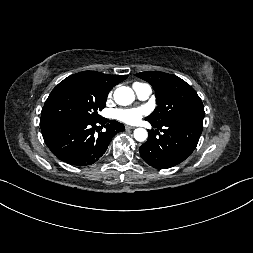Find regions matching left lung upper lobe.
<instances>
[{
	"instance_id": "obj_1",
	"label": "left lung upper lobe",
	"mask_w": 253,
	"mask_h": 253,
	"mask_svg": "<svg viewBox=\"0 0 253 253\" xmlns=\"http://www.w3.org/2000/svg\"><path fill=\"white\" fill-rule=\"evenodd\" d=\"M137 77L149 82L156 93L157 107L146 120L163 125L193 116L204 117V106L196 91L181 78L163 72H142Z\"/></svg>"
}]
</instances>
